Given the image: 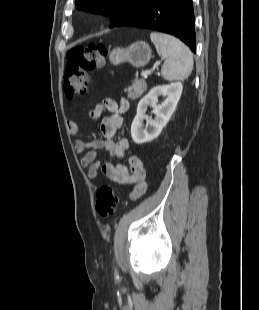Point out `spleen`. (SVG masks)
Wrapping results in <instances>:
<instances>
[{"label":"spleen","mask_w":259,"mask_h":310,"mask_svg":"<svg viewBox=\"0 0 259 310\" xmlns=\"http://www.w3.org/2000/svg\"><path fill=\"white\" fill-rule=\"evenodd\" d=\"M150 39L157 53L165 57L161 74L168 81L187 79L193 70V55L189 48L173 36L153 32Z\"/></svg>","instance_id":"obj_1"}]
</instances>
